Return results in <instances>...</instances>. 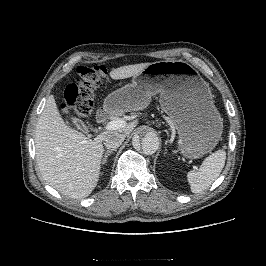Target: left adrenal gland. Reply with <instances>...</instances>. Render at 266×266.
Listing matches in <instances>:
<instances>
[{"label":"left adrenal gland","mask_w":266,"mask_h":266,"mask_svg":"<svg viewBox=\"0 0 266 266\" xmlns=\"http://www.w3.org/2000/svg\"><path fill=\"white\" fill-rule=\"evenodd\" d=\"M167 153V149L165 148V154Z\"/></svg>","instance_id":"obj_1"}]
</instances>
